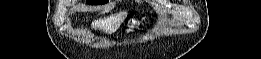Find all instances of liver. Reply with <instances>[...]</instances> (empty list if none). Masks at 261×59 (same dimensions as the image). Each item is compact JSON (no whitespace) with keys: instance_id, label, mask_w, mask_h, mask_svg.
Instances as JSON below:
<instances>
[{"instance_id":"liver-1","label":"liver","mask_w":261,"mask_h":59,"mask_svg":"<svg viewBox=\"0 0 261 59\" xmlns=\"http://www.w3.org/2000/svg\"><path fill=\"white\" fill-rule=\"evenodd\" d=\"M123 17H109L106 19H99L92 23V27L103 30L106 33H110L119 28L120 24L123 22Z\"/></svg>"}]
</instances>
